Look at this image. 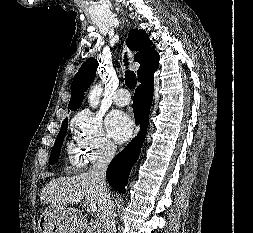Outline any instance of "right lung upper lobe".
I'll list each match as a JSON object with an SVG mask.
<instances>
[{
  "instance_id": "obj_1",
  "label": "right lung upper lobe",
  "mask_w": 253,
  "mask_h": 233,
  "mask_svg": "<svg viewBox=\"0 0 253 233\" xmlns=\"http://www.w3.org/2000/svg\"><path fill=\"white\" fill-rule=\"evenodd\" d=\"M127 45L132 51H137L134 59L140 63L137 70L138 80L157 69L159 54L155 51V45H152V41L144 30H131L128 34ZM98 64L95 58H89L76 73L72 82L71 99L68 105L70 110L76 111L81 106L84 92L94 80Z\"/></svg>"
}]
</instances>
